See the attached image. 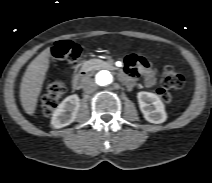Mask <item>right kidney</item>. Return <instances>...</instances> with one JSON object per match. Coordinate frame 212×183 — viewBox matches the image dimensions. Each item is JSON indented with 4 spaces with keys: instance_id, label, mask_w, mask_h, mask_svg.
Instances as JSON below:
<instances>
[{
    "instance_id": "obj_1",
    "label": "right kidney",
    "mask_w": 212,
    "mask_h": 183,
    "mask_svg": "<svg viewBox=\"0 0 212 183\" xmlns=\"http://www.w3.org/2000/svg\"><path fill=\"white\" fill-rule=\"evenodd\" d=\"M80 108V99L78 95H70L65 98L54 111L51 125L58 129L65 127L76 119L78 110Z\"/></svg>"
}]
</instances>
